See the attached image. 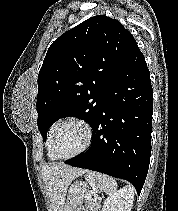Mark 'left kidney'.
<instances>
[{"label":"left kidney","instance_id":"5707ae66","mask_svg":"<svg viewBox=\"0 0 178 211\" xmlns=\"http://www.w3.org/2000/svg\"><path fill=\"white\" fill-rule=\"evenodd\" d=\"M133 201L134 188L126 186L105 200L102 211H131Z\"/></svg>","mask_w":178,"mask_h":211}]
</instances>
